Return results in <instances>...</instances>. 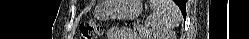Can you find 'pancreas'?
<instances>
[{"label": "pancreas", "instance_id": "1", "mask_svg": "<svg viewBox=\"0 0 249 39\" xmlns=\"http://www.w3.org/2000/svg\"><path fill=\"white\" fill-rule=\"evenodd\" d=\"M135 29H137V31L140 33L141 36H144V37H149L150 36V30L146 27H143L142 25H139V24H136L134 26Z\"/></svg>", "mask_w": 249, "mask_h": 39}]
</instances>
